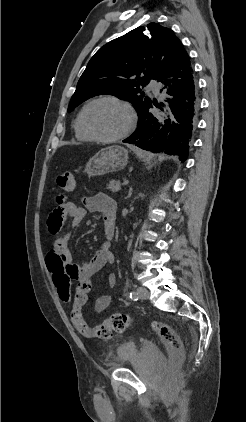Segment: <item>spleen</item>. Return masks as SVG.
Returning a JSON list of instances; mask_svg holds the SVG:
<instances>
[{
  "label": "spleen",
  "instance_id": "3e777b00",
  "mask_svg": "<svg viewBox=\"0 0 246 422\" xmlns=\"http://www.w3.org/2000/svg\"><path fill=\"white\" fill-rule=\"evenodd\" d=\"M150 158H151V155H150V154H148V153H145V160H146L147 162H149Z\"/></svg>",
  "mask_w": 246,
  "mask_h": 422
}]
</instances>
